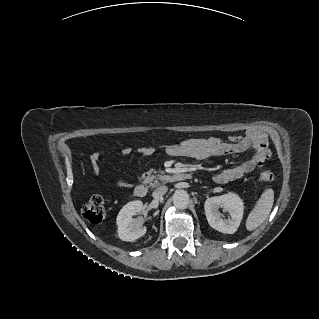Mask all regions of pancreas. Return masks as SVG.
<instances>
[{
  "mask_svg": "<svg viewBox=\"0 0 319 319\" xmlns=\"http://www.w3.org/2000/svg\"><path fill=\"white\" fill-rule=\"evenodd\" d=\"M167 176L162 171H148L144 178V183L149 184L150 187H156L167 182Z\"/></svg>",
  "mask_w": 319,
  "mask_h": 319,
  "instance_id": "pancreas-1",
  "label": "pancreas"
}]
</instances>
